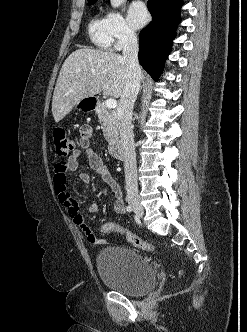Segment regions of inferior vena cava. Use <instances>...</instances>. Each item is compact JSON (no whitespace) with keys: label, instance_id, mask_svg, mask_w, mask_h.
Returning a JSON list of instances; mask_svg holds the SVG:
<instances>
[{"label":"inferior vena cava","instance_id":"602c4592","mask_svg":"<svg viewBox=\"0 0 247 332\" xmlns=\"http://www.w3.org/2000/svg\"><path fill=\"white\" fill-rule=\"evenodd\" d=\"M123 59L127 62V83L117 108V123L124 153L127 199L138 198L137 167L134 136L131 127L134 102L140 89L141 68L138 61V41L128 30L123 39Z\"/></svg>","mask_w":247,"mask_h":332}]
</instances>
